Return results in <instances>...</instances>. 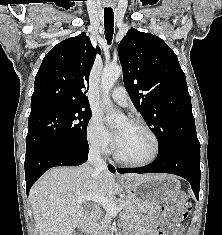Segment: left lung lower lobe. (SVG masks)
<instances>
[{
	"label": "left lung lower lobe",
	"instance_id": "0a47b994",
	"mask_svg": "<svg viewBox=\"0 0 222 235\" xmlns=\"http://www.w3.org/2000/svg\"><path fill=\"white\" fill-rule=\"evenodd\" d=\"M119 173H170L185 178L199 199L200 191V146L174 145L159 152L156 160L140 168H118Z\"/></svg>",
	"mask_w": 222,
	"mask_h": 235
}]
</instances>
